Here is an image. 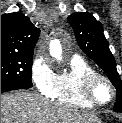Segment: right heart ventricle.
<instances>
[{
  "mask_svg": "<svg viewBox=\"0 0 122 123\" xmlns=\"http://www.w3.org/2000/svg\"><path fill=\"white\" fill-rule=\"evenodd\" d=\"M96 72L93 66L80 56L71 58L69 68L56 76L52 98L57 102L77 108H92L94 105L85 101L80 95L82 79Z\"/></svg>",
  "mask_w": 122,
  "mask_h": 123,
  "instance_id": "e07e8e85",
  "label": "right heart ventricle"
}]
</instances>
